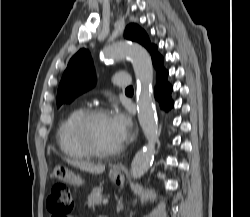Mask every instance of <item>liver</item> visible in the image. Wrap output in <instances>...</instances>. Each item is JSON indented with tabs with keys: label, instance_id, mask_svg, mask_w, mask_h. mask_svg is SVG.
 <instances>
[{
	"label": "liver",
	"instance_id": "6515ba94",
	"mask_svg": "<svg viewBox=\"0 0 250 217\" xmlns=\"http://www.w3.org/2000/svg\"><path fill=\"white\" fill-rule=\"evenodd\" d=\"M67 162L77 168H80L81 170H84L92 174H101L105 170L104 165H94L90 162L78 161V160H67Z\"/></svg>",
	"mask_w": 250,
	"mask_h": 217
}]
</instances>
